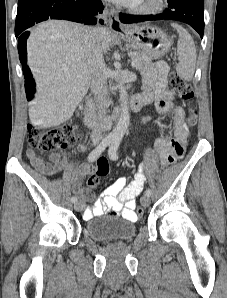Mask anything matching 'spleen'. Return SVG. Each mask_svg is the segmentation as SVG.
<instances>
[{
    "instance_id": "obj_1",
    "label": "spleen",
    "mask_w": 227,
    "mask_h": 298,
    "mask_svg": "<svg viewBox=\"0 0 227 298\" xmlns=\"http://www.w3.org/2000/svg\"><path fill=\"white\" fill-rule=\"evenodd\" d=\"M171 26L176 29L179 39L177 43V53L179 63L176 66L177 74L184 80L190 81L193 78L196 66V47L191 35L182 26L172 23Z\"/></svg>"
}]
</instances>
